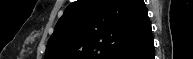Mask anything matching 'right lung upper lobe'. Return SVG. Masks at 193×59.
<instances>
[{"label": "right lung upper lobe", "mask_w": 193, "mask_h": 59, "mask_svg": "<svg viewBox=\"0 0 193 59\" xmlns=\"http://www.w3.org/2000/svg\"><path fill=\"white\" fill-rule=\"evenodd\" d=\"M151 33L143 0H78L58 20L45 59H116Z\"/></svg>", "instance_id": "1"}]
</instances>
